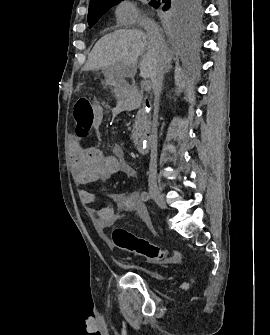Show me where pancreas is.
<instances>
[{
  "mask_svg": "<svg viewBox=\"0 0 270 335\" xmlns=\"http://www.w3.org/2000/svg\"><path fill=\"white\" fill-rule=\"evenodd\" d=\"M149 130H150L149 116H146V112H144V110H139L132 130L131 138L133 142H138V138H141L143 134H147Z\"/></svg>",
  "mask_w": 270,
  "mask_h": 335,
  "instance_id": "pancreas-1",
  "label": "pancreas"
}]
</instances>
